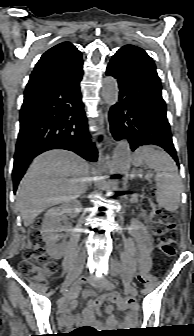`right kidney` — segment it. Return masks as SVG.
<instances>
[{"label":"right kidney","instance_id":"1","mask_svg":"<svg viewBox=\"0 0 194 336\" xmlns=\"http://www.w3.org/2000/svg\"><path fill=\"white\" fill-rule=\"evenodd\" d=\"M79 205L80 202L78 200L69 199L63 202L61 206L53 207L45 213L41 234L46 242L47 251L51 256L59 258L62 252V243H57L59 240L60 216L63 212L72 213Z\"/></svg>","mask_w":194,"mask_h":336}]
</instances>
